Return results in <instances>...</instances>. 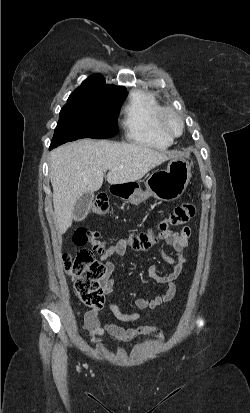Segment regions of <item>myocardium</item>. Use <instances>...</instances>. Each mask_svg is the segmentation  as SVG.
<instances>
[{"mask_svg":"<svg viewBox=\"0 0 250 413\" xmlns=\"http://www.w3.org/2000/svg\"><path fill=\"white\" fill-rule=\"evenodd\" d=\"M169 117L175 118L179 123V131L173 132L169 129L167 125V119ZM157 124L159 130L168 138L174 139L182 135L184 131V120L183 117L171 107H162L158 114Z\"/></svg>","mask_w":250,"mask_h":413,"instance_id":"obj_1","label":"myocardium"}]
</instances>
